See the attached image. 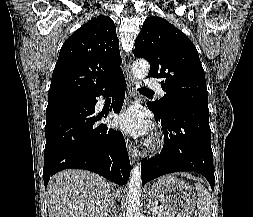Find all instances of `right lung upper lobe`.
<instances>
[{
	"mask_svg": "<svg viewBox=\"0 0 253 217\" xmlns=\"http://www.w3.org/2000/svg\"><path fill=\"white\" fill-rule=\"evenodd\" d=\"M118 44L108 16L100 15L79 28L60 50L48 102L87 98L123 74Z\"/></svg>",
	"mask_w": 253,
	"mask_h": 217,
	"instance_id": "cb5924a9",
	"label": "right lung upper lobe"
}]
</instances>
